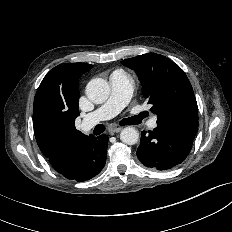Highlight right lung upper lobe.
I'll return each mask as SVG.
<instances>
[{
    "label": "right lung upper lobe",
    "instance_id": "obj_1",
    "mask_svg": "<svg viewBox=\"0 0 232 232\" xmlns=\"http://www.w3.org/2000/svg\"><path fill=\"white\" fill-rule=\"evenodd\" d=\"M93 65L64 63L50 70L34 98L33 127L37 144L56 169H62L71 146L87 137L75 128L78 80Z\"/></svg>",
    "mask_w": 232,
    "mask_h": 232
}]
</instances>
